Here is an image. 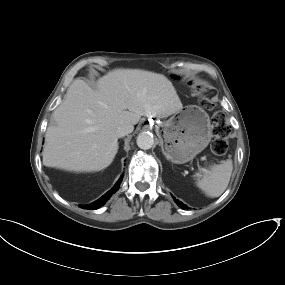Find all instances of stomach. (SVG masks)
<instances>
[{
	"label": "stomach",
	"instance_id": "0dacf381",
	"mask_svg": "<svg viewBox=\"0 0 285 285\" xmlns=\"http://www.w3.org/2000/svg\"><path fill=\"white\" fill-rule=\"evenodd\" d=\"M162 152L173 163L192 160L209 144L212 131L208 114L197 106H187L156 127Z\"/></svg>",
	"mask_w": 285,
	"mask_h": 285
}]
</instances>
